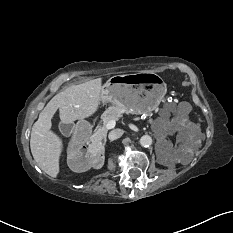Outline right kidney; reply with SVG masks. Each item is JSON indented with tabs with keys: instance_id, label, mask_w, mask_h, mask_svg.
<instances>
[{
	"instance_id": "obj_1",
	"label": "right kidney",
	"mask_w": 233,
	"mask_h": 233,
	"mask_svg": "<svg viewBox=\"0 0 233 233\" xmlns=\"http://www.w3.org/2000/svg\"><path fill=\"white\" fill-rule=\"evenodd\" d=\"M104 160V146L98 144L91 146L85 157L75 149H70L67 156L69 168L77 173L86 172L91 168L100 169L104 165Z\"/></svg>"
}]
</instances>
